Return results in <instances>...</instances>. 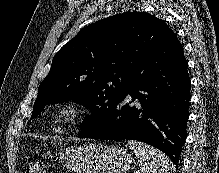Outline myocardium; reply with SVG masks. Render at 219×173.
I'll return each mask as SVG.
<instances>
[{
	"instance_id": "obj_1",
	"label": "myocardium",
	"mask_w": 219,
	"mask_h": 173,
	"mask_svg": "<svg viewBox=\"0 0 219 173\" xmlns=\"http://www.w3.org/2000/svg\"><path fill=\"white\" fill-rule=\"evenodd\" d=\"M84 115V107L77 102L66 101L59 104L53 112L56 132L64 134L71 131Z\"/></svg>"
}]
</instances>
